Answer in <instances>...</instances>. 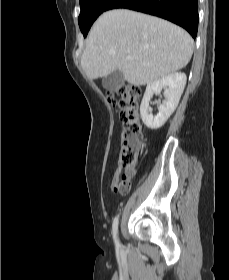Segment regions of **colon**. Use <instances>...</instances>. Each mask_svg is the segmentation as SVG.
I'll list each match as a JSON object with an SVG mask.
<instances>
[{"mask_svg":"<svg viewBox=\"0 0 229 280\" xmlns=\"http://www.w3.org/2000/svg\"><path fill=\"white\" fill-rule=\"evenodd\" d=\"M117 94L120 97L118 105L122 120L117 160L125 169V172L119 181L112 184V189L116 192H126L131 188L130 170L137 161L143 141L139 117L142 90L137 86L125 84L118 88ZM110 101L114 103L112 97H110Z\"/></svg>","mask_w":229,"mask_h":280,"instance_id":"1","label":"colon"}]
</instances>
